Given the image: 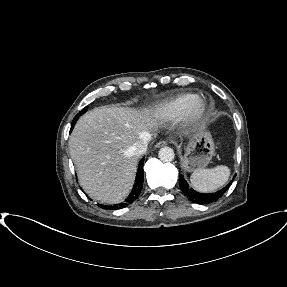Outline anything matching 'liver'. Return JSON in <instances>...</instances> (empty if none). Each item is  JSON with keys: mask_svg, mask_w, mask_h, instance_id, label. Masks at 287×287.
I'll return each instance as SVG.
<instances>
[{"mask_svg": "<svg viewBox=\"0 0 287 287\" xmlns=\"http://www.w3.org/2000/svg\"><path fill=\"white\" fill-rule=\"evenodd\" d=\"M155 126L150 108L101 106L79 118L69 152L80 185L91 198L115 204L128 196L139 160L130 148Z\"/></svg>", "mask_w": 287, "mask_h": 287, "instance_id": "1", "label": "liver"}]
</instances>
